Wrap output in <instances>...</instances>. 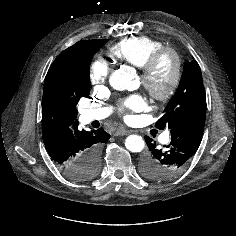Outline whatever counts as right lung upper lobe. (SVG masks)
Wrapping results in <instances>:
<instances>
[{"label":"right lung upper lobe","instance_id":"1","mask_svg":"<svg viewBox=\"0 0 236 236\" xmlns=\"http://www.w3.org/2000/svg\"><path fill=\"white\" fill-rule=\"evenodd\" d=\"M100 40L79 41L60 53L50 66L44 81L42 98V132L70 128L77 124V109L64 87L69 80L77 51Z\"/></svg>","mask_w":236,"mask_h":236}]
</instances>
